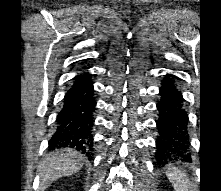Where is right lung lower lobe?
Here are the masks:
<instances>
[{
    "label": "right lung lower lobe",
    "mask_w": 221,
    "mask_h": 191,
    "mask_svg": "<svg viewBox=\"0 0 221 191\" xmlns=\"http://www.w3.org/2000/svg\"><path fill=\"white\" fill-rule=\"evenodd\" d=\"M89 73L74 78L67 91L63 106L56 119V130L49 147H71L87 155L93 151L92 127L96 100Z\"/></svg>",
    "instance_id": "1"
}]
</instances>
